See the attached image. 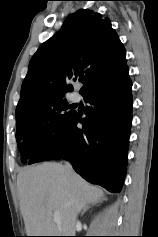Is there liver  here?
Listing matches in <instances>:
<instances>
[{
  "label": "liver",
  "mask_w": 158,
  "mask_h": 237,
  "mask_svg": "<svg viewBox=\"0 0 158 237\" xmlns=\"http://www.w3.org/2000/svg\"><path fill=\"white\" fill-rule=\"evenodd\" d=\"M20 210L27 236H71L78 213L104 197L73 169L45 162L22 169L17 176ZM57 211L60 222H54Z\"/></svg>",
  "instance_id": "6515ba94"
}]
</instances>
